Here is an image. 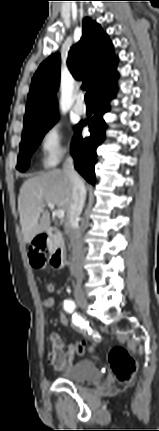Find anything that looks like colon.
<instances>
[{
	"label": "colon",
	"instance_id": "obj_1",
	"mask_svg": "<svg viewBox=\"0 0 159 431\" xmlns=\"http://www.w3.org/2000/svg\"><path fill=\"white\" fill-rule=\"evenodd\" d=\"M44 245L41 241H37L31 248L29 252L30 263L34 268H43L45 265L44 256ZM54 301H49L48 308H53ZM59 326L63 330H68L71 325V320L68 313H59L58 316ZM74 345H76L78 358L83 360L86 357V349L90 351H95V346L91 344L97 343L96 337L90 338V343H84L81 339L74 340ZM109 364L114 376L118 381L122 383H130L137 370V363L135 359L129 354V352L121 346L113 347L109 352Z\"/></svg>",
	"mask_w": 159,
	"mask_h": 431
}]
</instances>
